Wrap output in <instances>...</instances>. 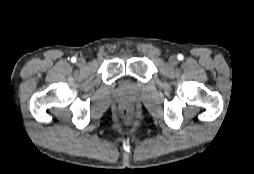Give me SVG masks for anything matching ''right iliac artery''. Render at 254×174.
<instances>
[{"label":"right iliac artery","mask_w":254,"mask_h":174,"mask_svg":"<svg viewBox=\"0 0 254 174\" xmlns=\"http://www.w3.org/2000/svg\"><path fill=\"white\" fill-rule=\"evenodd\" d=\"M71 61H72V62H76V58H75V57H72V58H71Z\"/></svg>","instance_id":"obj_1"}]
</instances>
